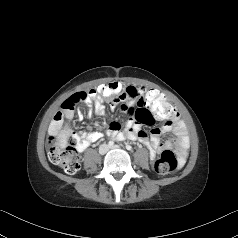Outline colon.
<instances>
[{
	"mask_svg": "<svg viewBox=\"0 0 238 238\" xmlns=\"http://www.w3.org/2000/svg\"><path fill=\"white\" fill-rule=\"evenodd\" d=\"M119 80H112L108 86H95L96 94L100 95L101 103H119L118 94H122V87ZM88 94L84 91L77 92L67 98L62 106L71 109L76 103L83 101ZM158 120L171 118L175 110L167 101L152 99L149 102V109ZM50 145L48 150L49 160L68 174H75L80 170V157L76 148V138L68 133L62 141L58 134L53 133L48 139ZM178 167V159L170 148L164 150L155 163V169L160 174H168Z\"/></svg>",
	"mask_w": 238,
	"mask_h": 238,
	"instance_id": "colon-1",
	"label": "colon"
}]
</instances>
